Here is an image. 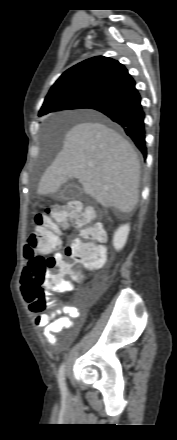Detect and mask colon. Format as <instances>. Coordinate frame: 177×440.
<instances>
[{
	"instance_id": "1",
	"label": "colon",
	"mask_w": 177,
	"mask_h": 440,
	"mask_svg": "<svg viewBox=\"0 0 177 440\" xmlns=\"http://www.w3.org/2000/svg\"><path fill=\"white\" fill-rule=\"evenodd\" d=\"M94 212L82 210L78 201H70L62 206H53L45 213L38 214L34 227L24 246V256L28 260L21 281V290L32 309L39 313L46 289L60 291L70 282L69 278L81 281L75 265L90 269L102 266L105 251L99 243L104 239L102 228L93 223ZM74 228L78 237L63 253H53L60 246V231ZM45 253H51L44 256Z\"/></svg>"
}]
</instances>
